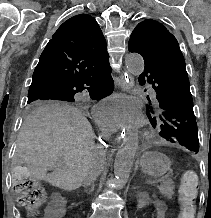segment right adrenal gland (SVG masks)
I'll return each instance as SVG.
<instances>
[{"instance_id":"2a0ac1e0","label":"right adrenal gland","mask_w":211,"mask_h":218,"mask_svg":"<svg viewBox=\"0 0 211 218\" xmlns=\"http://www.w3.org/2000/svg\"><path fill=\"white\" fill-rule=\"evenodd\" d=\"M93 190H94V186H93V184H92L90 190H85V192H87V194H89V192H93Z\"/></svg>"}]
</instances>
